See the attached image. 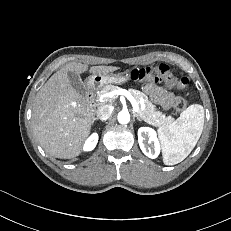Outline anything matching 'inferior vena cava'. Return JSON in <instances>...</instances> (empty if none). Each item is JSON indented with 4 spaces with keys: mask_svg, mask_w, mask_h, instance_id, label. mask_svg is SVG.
Segmentation results:
<instances>
[{
    "mask_svg": "<svg viewBox=\"0 0 231 231\" xmlns=\"http://www.w3.org/2000/svg\"><path fill=\"white\" fill-rule=\"evenodd\" d=\"M96 114L98 119L102 121L107 120L112 114V108L108 105H102L98 107Z\"/></svg>",
    "mask_w": 231,
    "mask_h": 231,
    "instance_id": "1",
    "label": "inferior vena cava"
}]
</instances>
